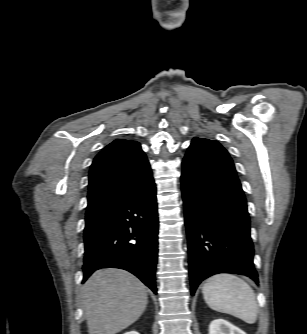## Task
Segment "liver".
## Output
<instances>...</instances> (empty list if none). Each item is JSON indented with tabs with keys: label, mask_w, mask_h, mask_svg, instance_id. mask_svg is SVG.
I'll list each match as a JSON object with an SVG mask.
<instances>
[{
	"label": "liver",
	"mask_w": 307,
	"mask_h": 334,
	"mask_svg": "<svg viewBox=\"0 0 307 334\" xmlns=\"http://www.w3.org/2000/svg\"><path fill=\"white\" fill-rule=\"evenodd\" d=\"M89 334H116L133 324L144 312L145 285L121 269L96 271L81 289Z\"/></svg>",
	"instance_id": "6515ba94"
}]
</instances>
